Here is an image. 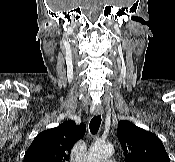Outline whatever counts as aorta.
Instances as JSON below:
<instances>
[{
    "label": "aorta",
    "mask_w": 175,
    "mask_h": 162,
    "mask_svg": "<svg viewBox=\"0 0 175 162\" xmlns=\"http://www.w3.org/2000/svg\"><path fill=\"white\" fill-rule=\"evenodd\" d=\"M114 152L113 145L109 142H95L91 146L86 162H101Z\"/></svg>",
    "instance_id": "aorta-1"
}]
</instances>
